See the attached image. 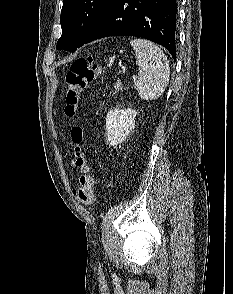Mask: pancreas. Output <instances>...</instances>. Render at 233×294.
<instances>
[{"label":"pancreas","mask_w":233,"mask_h":294,"mask_svg":"<svg viewBox=\"0 0 233 294\" xmlns=\"http://www.w3.org/2000/svg\"><path fill=\"white\" fill-rule=\"evenodd\" d=\"M114 88H115L116 91H122L123 90V86L121 85L120 82H116L114 84Z\"/></svg>","instance_id":"cf45deb5"}]
</instances>
